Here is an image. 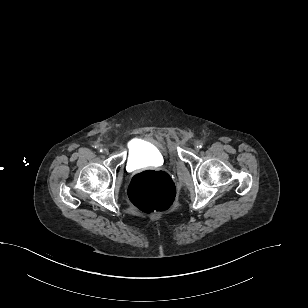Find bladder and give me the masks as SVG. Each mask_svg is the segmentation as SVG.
Wrapping results in <instances>:
<instances>
[{
    "instance_id": "obj_1",
    "label": "bladder",
    "mask_w": 308,
    "mask_h": 308,
    "mask_svg": "<svg viewBox=\"0 0 308 308\" xmlns=\"http://www.w3.org/2000/svg\"><path fill=\"white\" fill-rule=\"evenodd\" d=\"M164 160L165 149L157 142L148 139H138L130 146L128 164L131 166L142 167L161 164Z\"/></svg>"
}]
</instances>
